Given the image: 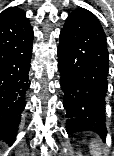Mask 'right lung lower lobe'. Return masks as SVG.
Returning <instances> with one entry per match:
<instances>
[{"instance_id": "obj_1", "label": "right lung lower lobe", "mask_w": 114, "mask_h": 156, "mask_svg": "<svg viewBox=\"0 0 114 156\" xmlns=\"http://www.w3.org/2000/svg\"><path fill=\"white\" fill-rule=\"evenodd\" d=\"M33 30L20 9L0 15V139L12 143L30 86Z\"/></svg>"}]
</instances>
